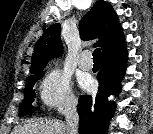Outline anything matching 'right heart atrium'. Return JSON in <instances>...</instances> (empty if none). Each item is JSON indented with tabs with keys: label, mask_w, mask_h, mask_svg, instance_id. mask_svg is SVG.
I'll return each instance as SVG.
<instances>
[{
	"label": "right heart atrium",
	"mask_w": 153,
	"mask_h": 134,
	"mask_svg": "<svg viewBox=\"0 0 153 134\" xmlns=\"http://www.w3.org/2000/svg\"><path fill=\"white\" fill-rule=\"evenodd\" d=\"M39 95L42 103L59 112H66L76 104L70 77L62 69L53 67L41 79Z\"/></svg>",
	"instance_id": "right-heart-atrium-1"
}]
</instances>
